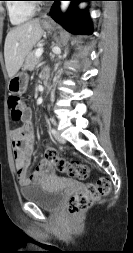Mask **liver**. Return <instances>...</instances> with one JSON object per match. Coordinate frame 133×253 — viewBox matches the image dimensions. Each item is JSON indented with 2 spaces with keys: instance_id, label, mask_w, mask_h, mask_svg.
I'll list each match as a JSON object with an SVG mask.
<instances>
[{
  "instance_id": "obj_1",
  "label": "liver",
  "mask_w": 133,
  "mask_h": 253,
  "mask_svg": "<svg viewBox=\"0 0 133 253\" xmlns=\"http://www.w3.org/2000/svg\"><path fill=\"white\" fill-rule=\"evenodd\" d=\"M41 36L39 19L23 23L8 32L4 45V58L9 78L17 74L25 57Z\"/></svg>"
}]
</instances>
